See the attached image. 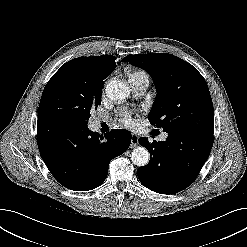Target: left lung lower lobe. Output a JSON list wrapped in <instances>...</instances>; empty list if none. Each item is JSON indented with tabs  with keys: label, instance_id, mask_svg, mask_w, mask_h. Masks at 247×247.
<instances>
[{
	"label": "left lung lower lobe",
	"instance_id": "left-lung-lower-lobe-1",
	"mask_svg": "<svg viewBox=\"0 0 247 247\" xmlns=\"http://www.w3.org/2000/svg\"><path fill=\"white\" fill-rule=\"evenodd\" d=\"M150 152V161L137 170L140 182L160 194H174L187 188L209 157L213 135L201 132L168 133L166 141L139 139Z\"/></svg>",
	"mask_w": 247,
	"mask_h": 247
}]
</instances>
